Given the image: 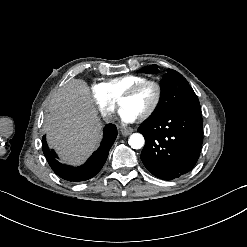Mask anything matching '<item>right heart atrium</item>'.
Instances as JSON below:
<instances>
[{"mask_svg": "<svg viewBox=\"0 0 247 247\" xmlns=\"http://www.w3.org/2000/svg\"><path fill=\"white\" fill-rule=\"evenodd\" d=\"M91 92L95 96L94 101L99 105V111L102 115H108L115 109V100L109 96L102 84H95Z\"/></svg>", "mask_w": 247, "mask_h": 247, "instance_id": "d8ad5b80", "label": "right heart atrium"}]
</instances>
